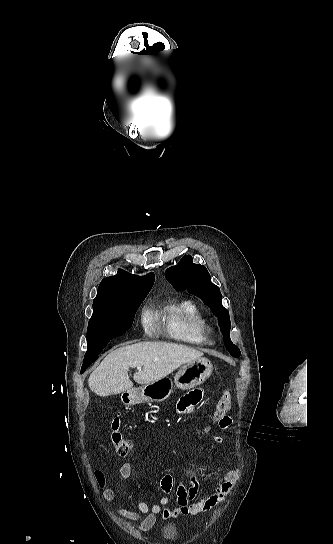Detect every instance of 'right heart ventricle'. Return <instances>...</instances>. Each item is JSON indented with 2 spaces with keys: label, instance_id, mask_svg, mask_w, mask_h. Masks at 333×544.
<instances>
[{
  "label": "right heart ventricle",
  "instance_id": "obj_1",
  "mask_svg": "<svg viewBox=\"0 0 333 544\" xmlns=\"http://www.w3.org/2000/svg\"><path fill=\"white\" fill-rule=\"evenodd\" d=\"M168 334L177 340L191 344L209 342V326L199 308L191 301L168 305L163 311Z\"/></svg>",
  "mask_w": 333,
  "mask_h": 544
}]
</instances>
